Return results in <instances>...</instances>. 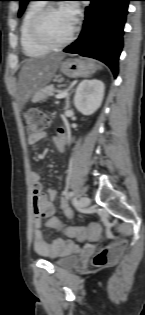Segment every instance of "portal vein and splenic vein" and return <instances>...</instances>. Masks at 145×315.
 Returning a JSON list of instances; mask_svg holds the SVG:
<instances>
[{"instance_id": "1", "label": "portal vein and splenic vein", "mask_w": 145, "mask_h": 315, "mask_svg": "<svg viewBox=\"0 0 145 315\" xmlns=\"http://www.w3.org/2000/svg\"><path fill=\"white\" fill-rule=\"evenodd\" d=\"M68 95V91H65V92H62V93H59L55 96V98L57 99H61V98H64Z\"/></svg>"}]
</instances>
